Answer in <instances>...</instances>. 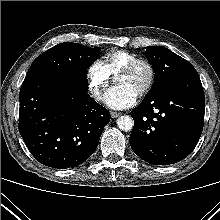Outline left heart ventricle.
I'll return each instance as SVG.
<instances>
[{
    "label": "left heart ventricle",
    "instance_id": "1",
    "mask_svg": "<svg viewBox=\"0 0 220 220\" xmlns=\"http://www.w3.org/2000/svg\"><path fill=\"white\" fill-rule=\"evenodd\" d=\"M148 79V69L144 65H140L131 73H120L117 77L118 85H128L135 92L139 93Z\"/></svg>",
    "mask_w": 220,
    "mask_h": 220
}]
</instances>
